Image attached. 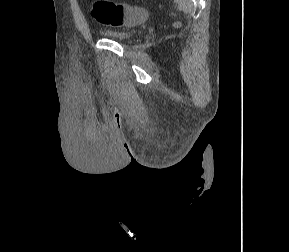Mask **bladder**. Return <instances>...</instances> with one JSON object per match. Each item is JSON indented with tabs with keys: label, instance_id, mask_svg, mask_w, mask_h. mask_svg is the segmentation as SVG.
Here are the masks:
<instances>
[{
	"label": "bladder",
	"instance_id": "obj_1",
	"mask_svg": "<svg viewBox=\"0 0 289 252\" xmlns=\"http://www.w3.org/2000/svg\"><path fill=\"white\" fill-rule=\"evenodd\" d=\"M101 35L105 38L125 43L131 41L135 37L136 33L134 31L105 30L101 32Z\"/></svg>",
	"mask_w": 289,
	"mask_h": 252
}]
</instances>
